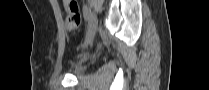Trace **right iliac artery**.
<instances>
[{
    "label": "right iliac artery",
    "mask_w": 209,
    "mask_h": 90,
    "mask_svg": "<svg viewBox=\"0 0 209 90\" xmlns=\"http://www.w3.org/2000/svg\"><path fill=\"white\" fill-rule=\"evenodd\" d=\"M83 15L86 21H89L90 16H91V11L87 6H84L83 8Z\"/></svg>",
    "instance_id": "right-iliac-artery-1"
}]
</instances>
